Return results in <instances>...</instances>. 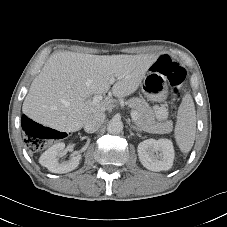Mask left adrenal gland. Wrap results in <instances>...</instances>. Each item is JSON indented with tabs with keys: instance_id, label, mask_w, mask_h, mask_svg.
<instances>
[{
	"instance_id": "1",
	"label": "left adrenal gland",
	"mask_w": 227,
	"mask_h": 227,
	"mask_svg": "<svg viewBox=\"0 0 227 227\" xmlns=\"http://www.w3.org/2000/svg\"><path fill=\"white\" fill-rule=\"evenodd\" d=\"M130 127H131L133 130L137 131V132H141V131H142L140 128H138V127H136V126H134V125H130ZM139 135H140V134H139Z\"/></svg>"
}]
</instances>
